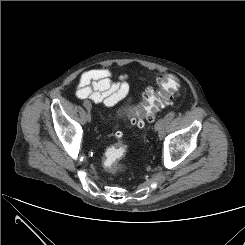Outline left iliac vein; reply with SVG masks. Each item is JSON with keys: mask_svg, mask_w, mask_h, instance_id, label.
Here are the masks:
<instances>
[{"mask_svg": "<svg viewBox=\"0 0 245 245\" xmlns=\"http://www.w3.org/2000/svg\"><path fill=\"white\" fill-rule=\"evenodd\" d=\"M163 125H164V118L158 120L157 123L155 124V131L158 132L160 138L164 136L162 132Z\"/></svg>", "mask_w": 245, "mask_h": 245, "instance_id": "4c4485c4", "label": "left iliac vein"}]
</instances>
